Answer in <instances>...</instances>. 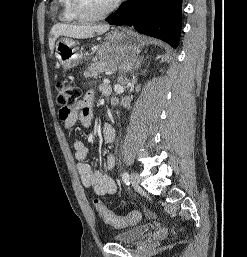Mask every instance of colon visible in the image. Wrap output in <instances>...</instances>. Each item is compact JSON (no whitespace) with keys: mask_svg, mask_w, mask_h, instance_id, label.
Returning <instances> with one entry per match:
<instances>
[{"mask_svg":"<svg viewBox=\"0 0 247 257\" xmlns=\"http://www.w3.org/2000/svg\"><path fill=\"white\" fill-rule=\"evenodd\" d=\"M57 102L61 109L68 110L74 105L80 97V89L68 82H59L57 85ZM96 211L106 224L114 228L120 229L128 226L136 225L141 220L139 211H131L127 216H118L108 209L100 200L94 201Z\"/></svg>","mask_w":247,"mask_h":257,"instance_id":"colon-1","label":"colon"}]
</instances>
